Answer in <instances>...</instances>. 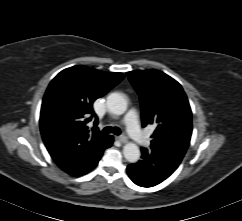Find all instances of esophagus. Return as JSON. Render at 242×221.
I'll use <instances>...</instances> for the list:
<instances>
[{"mask_svg": "<svg viewBox=\"0 0 242 221\" xmlns=\"http://www.w3.org/2000/svg\"><path fill=\"white\" fill-rule=\"evenodd\" d=\"M116 139L120 141L121 143H126L127 142V137L126 136H117Z\"/></svg>", "mask_w": 242, "mask_h": 221, "instance_id": "1", "label": "esophagus"}]
</instances>
